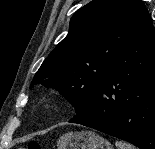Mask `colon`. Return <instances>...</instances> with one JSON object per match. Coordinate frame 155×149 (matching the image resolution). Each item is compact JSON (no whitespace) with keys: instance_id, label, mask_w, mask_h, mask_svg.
I'll return each instance as SVG.
<instances>
[{"instance_id":"5ec220e1","label":"colon","mask_w":155,"mask_h":149,"mask_svg":"<svg viewBox=\"0 0 155 149\" xmlns=\"http://www.w3.org/2000/svg\"><path fill=\"white\" fill-rule=\"evenodd\" d=\"M24 149H43L42 145L37 141H30Z\"/></svg>"}]
</instances>
